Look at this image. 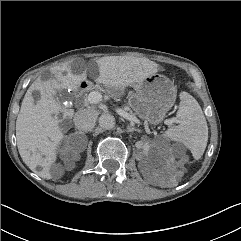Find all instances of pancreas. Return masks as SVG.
Segmentation results:
<instances>
[{
	"instance_id": "obj_1",
	"label": "pancreas",
	"mask_w": 241,
	"mask_h": 241,
	"mask_svg": "<svg viewBox=\"0 0 241 241\" xmlns=\"http://www.w3.org/2000/svg\"><path fill=\"white\" fill-rule=\"evenodd\" d=\"M95 91L98 92V89L95 88ZM84 103H85L86 105L90 103V101H89V94H85V95H84Z\"/></svg>"
}]
</instances>
